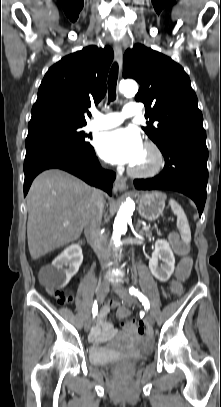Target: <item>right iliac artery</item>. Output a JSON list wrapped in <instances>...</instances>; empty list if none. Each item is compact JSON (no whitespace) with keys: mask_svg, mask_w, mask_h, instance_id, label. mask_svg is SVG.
Segmentation results:
<instances>
[{"mask_svg":"<svg viewBox=\"0 0 221 407\" xmlns=\"http://www.w3.org/2000/svg\"><path fill=\"white\" fill-rule=\"evenodd\" d=\"M97 312H98V306H97V302L95 301L93 304V308H92L93 317H95L97 315Z\"/></svg>","mask_w":221,"mask_h":407,"instance_id":"right-iliac-artery-1","label":"right iliac artery"}]
</instances>
